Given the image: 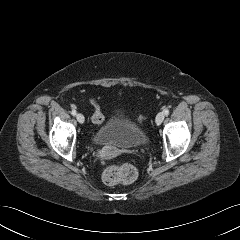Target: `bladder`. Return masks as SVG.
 <instances>
[{
  "label": "bladder",
  "instance_id": "1",
  "mask_svg": "<svg viewBox=\"0 0 240 240\" xmlns=\"http://www.w3.org/2000/svg\"><path fill=\"white\" fill-rule=\"evenodd\" d=\"M148 140L147 133L137 124L120 117H112L94 134L98 145L131 149L143 146Z\"/></svg>",
  "mask_w": 240,
  "mask_h": 240
}]
</instances>
